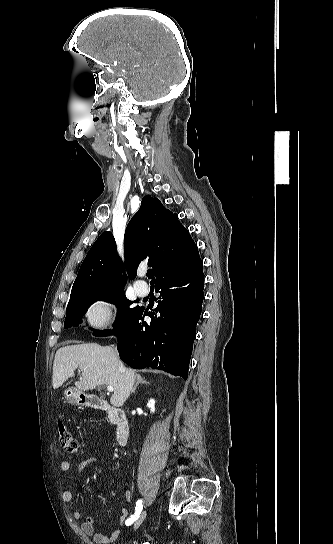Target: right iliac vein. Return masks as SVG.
<instances>
[{"mask_svg":"<svg viewBox=\"0 0 333 544\" xmlns=\"http://www.w3.org/2000/svg\"><path fill=\"white\" fill-rule=\"evenodd\" d=\"M146 516H147V511H146V510L142 511V513L139 515V517H138V518L136 519V521L134 522V526H133L134 531H135L136 529H138V527L143 523V521L145 520Z\"/></svg>","mask_w":333,"mask_h":544,"instance_id":"right-iliac-vein-1","label":"right iliac vein"}]
</instances>
